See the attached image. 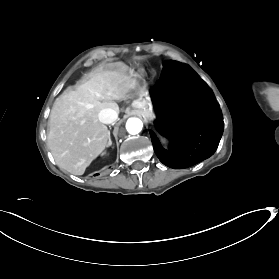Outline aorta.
Returning a JSON list of instances; mask_svg holds the SVG:
<instances>
[{
	"instance_id": "762f6f07",
	"label": "aorta",
	"mask_w": 279,
	"mask_h": 279,
	"mask_svg": "<svg viewBox=\"0 0 279 279\" xmlns=\"http://www.w3.org/2000/svg\"><path fill=\"white\" fill-rule=\"evenodd\" d=\"M143 127V123L139 118H129L126 122V130L131 135L138 134Z\"/></svg>"
}]
</instances>
